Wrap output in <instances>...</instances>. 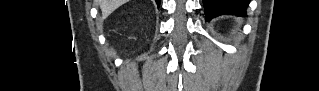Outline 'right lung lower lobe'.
<instances>
[{"label": "right lung lower lobe", "mask_w": 319, "mask_h": 91, "mask_svg": "<svg viewBox=\"0 0 319 91\" xmlns=\"http://www.w3.org/2000/svg\"><path fill=\"white\" fill-rule=\"evenodd\" d=\"M155 2H156L157 6L159 8L160 7V0H155Z\"/></svg>", "instance_id": "98d812e1"}]
</instances>
